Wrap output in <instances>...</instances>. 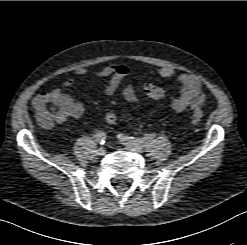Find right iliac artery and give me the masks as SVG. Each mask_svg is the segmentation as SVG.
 Here are the masks:
<instances>
[{
    "label": "right iliac artery",
    "mask_w": 247,
    "mask_h": 245,
    "mask_svg": "<svg viewBox=\"0 0 247 245\" xmlns=\"http://www.w3.org/2000/svg\"><path fill=\"white\" fill-rule=\"evenodd\" d=\"M95 138L99 144L103 145L105 143V140H106V135L104 132L99 131L98 133H96Z\"/></svg>",
    "instance_id": "82829eb1"
}]
</instances>
